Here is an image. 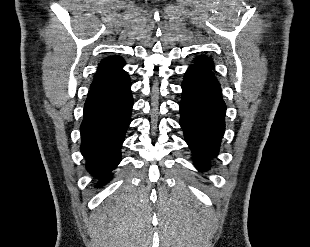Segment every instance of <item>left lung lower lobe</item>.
I'll return each mask as SVG.
<instances>
[{"label": "left lung lower lobe", "mask_w": 310, "mask_h": 247, "mask_svg": "<svg viewBox=\"0 0 310 247\" xmlns=\"http://www.w3.org/2000/svg\"><path fill=\"white\" fill-rule=\"evenodd\" d=\"M180 125L194 152V165L205 171L219 151L225 130L226 106L218 80L210 69L190 66L182 83Z\"/></svg>", "instance_id": "0a47b994"}]
</instances>
